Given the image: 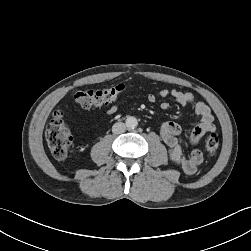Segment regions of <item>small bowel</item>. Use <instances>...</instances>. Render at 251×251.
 <instances>
[{
  "label": "small bowel",
  "mask_w": 251,
  "mask_h": 251,
  "mask_svg": "<svg viewBox=\"0 0 251 251\" xmlns=\"http://www.w3.org/2000/svg\"><path fill=\"white\" fill-rule=\"evenodd\" d=\"M171 98L181 105L194 104L195 114L200 118V122L196 124L190 133V143L196 146L204 134L215 131L214 116L211 109L204 102L196 101L195 96L191 92H183L176 89H163L158 93H149L147 100L150 103H156L163 99L160 103L162 110H167L170 103L165 100ZM118 110L117 105H113L105 112L110 116ZM160 136L168 148L169 159L179 166L186 174L192 175L197 172L198 166L203 162V153L201 150L194 148L189 156H185L181 143L178 141V136L181 133V128L174 122H165L159 130Z\"/></svg>",
  "instance_id": "c3829d8e"
}]
</instances>
